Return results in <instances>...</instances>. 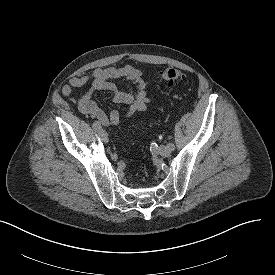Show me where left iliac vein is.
<instances>
[{
    "instance_id": "4c4485c4",
    "label": "left iliac vein",
    "mask_w": 275,
    "mask_h": 275,
    "mask_svg": "<svg viewBox=\"0 0 275 275\" xmlns=\"http://www.w3.org/2000/svg\"><path fill=\"white\" fill-rule=\"evenodd\" d=\"M171 152H172V150H171V148L169 146L162 145L159 148V153L163 157H168Z\"/></svg>"
}]
</instances>
